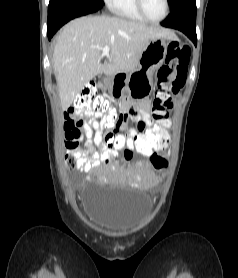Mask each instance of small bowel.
<instances>
[{"label": "small bowel", "mask_w": 238, "mask_h": 278, "mask_svg": "<svg viewBox=\"0 0 238 278\" xmlns=\"http://www.w3.org/2000/svg\"><path fill=\"white\" fill-rule=\"evenodd\" d=\"M90 117L88 122L82 123L81 128L85 133V148L78 147L70 149L77 160V168L83 172H90L98 168L102 164H108L119 153H107L102 146V139L100 137V130L104 126L108 117L106 113H86ZM79 115L73 114L71 110L64 113V124L70 120H79ZM131 122L136 123V128L130 126ZM150 124H154V119L149 113V105L146 102L140 104H125L123 107V114L119 121V133L117 137H146V132L150 130ZM66 136V135H65ZM82 136L77 140H81ZM165 141L168 139L167 133L164 135ZM67 141V136H66ZM125 154V153H122ZM147 183L153 182L151 175L147 176Z\"/></svg>", "instance_id": "1"}]
</instances>
